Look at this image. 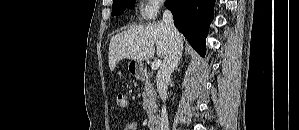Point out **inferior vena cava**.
<instances>
[{
  "label": "inferior vena cava",
  "mask_w": 299,
  "mask_h": 130,
  "mask_svg": "<svg viewBox=\"0 0 299 130\" xmlns=\"http://www.w3.org/2000/svg\"><path fill=\"white\" fill-rule=\"evenodd\" d=\"M163 23L168 32L170 48L157 73L156 81L159 95L162 101L165 102L167 99V86L170 82V76L182 56L183 43L182 36L174 25L173 15L168 9L163 13ZM160 130H169L168 116L165 106L162 108Z\"/></svg>",
  "instance_id": "inferior-vena-cava-1"
}]
</instances>
